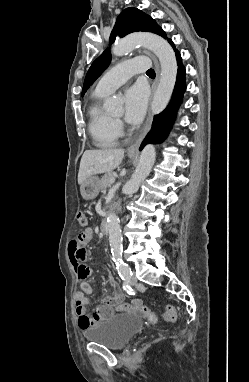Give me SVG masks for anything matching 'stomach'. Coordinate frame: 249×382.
<instances>
[{"label": "stomach", "mask_w": 249, "mask_h": 382, "mask_svg": "<svg viewBox=\"0 0 249 382\" xmlns=\"http://www.w3.org/2000/svg\"><path fill=\"white\" fill-rule=\"evenodd\" d=\"M133 157V156H130ZM100 180L97 176H90L80 187L81 195L85 200H91L97 197L100 192Z\"/></svg>", "instance_id": "obj_1"}]
</instances>
